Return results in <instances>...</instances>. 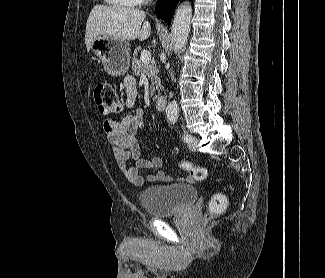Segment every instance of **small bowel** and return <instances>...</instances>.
<instances>
[{"mask_svg":"<svg viewBox=\"0 0 325 278\" xmlns=\"http://www.w3.org/2000/svg\"><path fill=\"white\" fill-rule=\"evenodd\" d=\"M126 93V106L129 111L120 119H107L103 122V130L118 169L122 175L133 185L141 186L147 182H168L170 177L161 171L163 160L160 157L142 156L137 136L145 123V112L141 108H133L137 97V88L132 77L124 79ZM131 162V164H129ZM150 170L145 177L139 170Z\"/></svg>","mask_w":325,"mask_h":278,"instance_id":"c3829d8e","label":"small bowel"}]
</instances>
